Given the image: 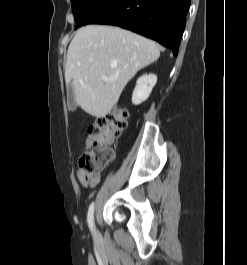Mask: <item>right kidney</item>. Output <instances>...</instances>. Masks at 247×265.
<instances>
[{
    "label": "right kidney",
    "instance_id": "ca27d5eb",
    "mask_svg": "<svg viewBox=\"0 0 247 265\" xmlns=\"http://www.w3.org/2000/svg\"><path fill=\"white\" fill-rule=\"evenodd\" d=\"M156 82L157 76L154 74L141 76L136 82V87L132 94V103L139 105L147 100Z\"/></svg>",
    "mask_w": 247,
    "mask_h": 265
}]
</instances>
